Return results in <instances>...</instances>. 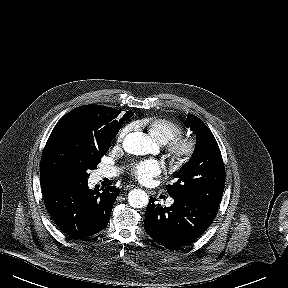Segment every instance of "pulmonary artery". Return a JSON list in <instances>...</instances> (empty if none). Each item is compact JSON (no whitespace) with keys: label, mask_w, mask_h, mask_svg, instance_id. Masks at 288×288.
<instances>
[{"label":"pulmonary artery","mask_w":288,"mask_h":288,"mask_svg":"<svg viewBox=\"0 0 288 288\" xmlns=\"http://www.w3.org/2000/svg\"><path fill=\"white\" fill-rule=\"evenodd\" d=\"M118 169L112 166H106L103 167L101 169H99L96 173V178L97 179H102V178H110V177H114L118 174ZM173 201L170 200L169 204H171Z\"/></svg>","instance_id":"obj_1"}]
</instances>
